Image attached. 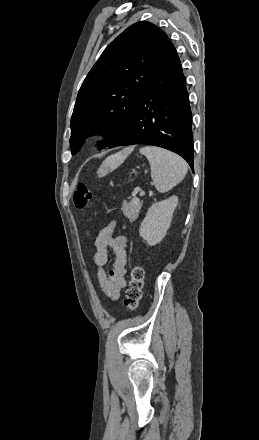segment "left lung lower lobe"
Listing matches in <instances>:
<instances>
[{
	"instance_id": "obj_1",
	"label": "left lung lower lobe",
	"mask_w": 259,
	"mask_h": 440,
	"mask_svg": "<svg viewBox=\"0 0 259 440\" xmlns=\"http://www.w3.org/2000/svg\"><path fill=\"white\" fill-rule=\"evenodd\" d=\"M133 144L155 145L173 151L193 170L189 95L179 57L169 38L126 125L108 147Z\"/></svg>"
}]
</instances>
